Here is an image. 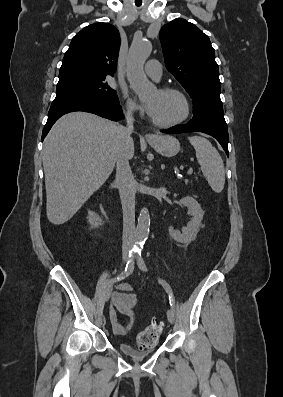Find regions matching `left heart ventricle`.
I'll return each instance as SVG.
<instances>
[{
	"label": "left heart ventricle",
	"instance_id": "1",
	"mask_svg": "<svg viewBox=\"0 0 283 397\" xmlns=\"http://www.w3.org/2000/svg\"><path fill=\"white\" fill-rule=\"evenodd\" d=\"M153 104L151 117L157 121L167 122L177 119L183 114L184 104L181 98L172 93L154 91L147 99Z\"/></svg>",
	"mask_w": 283,
	"mask_h": 397
}]
</instances>
